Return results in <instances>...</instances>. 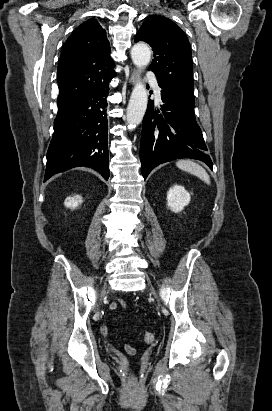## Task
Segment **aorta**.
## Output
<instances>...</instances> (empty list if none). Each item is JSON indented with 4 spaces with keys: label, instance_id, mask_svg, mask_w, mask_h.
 I'll list each match as a JSON object with an SVG mask.
<instances>
[{
    "label": "aorta",
    "instance_id": "aorta-1",
    "mask_svg": "<svg viewBox=\"0 0 272 411\" xmlns=\"http://www.w3.org/2000/svg\"><path fill=\"white\" fill-rule=\"evenodd\" d=\"M131 58L138 68L147 66L151 59L150 48L143 43H137L131 50ZM148 95L144 84L139 81L135 84L127 107V122L129 127L139 125L147 109Z\"/></svg>",
    "mask_w": 272,
    "mask_h": 411
}]
</instances>
